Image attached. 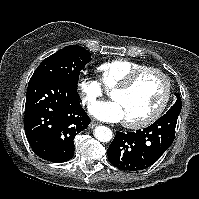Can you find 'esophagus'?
<instances>
[{
    "instance_id": "esophagus-1",
    "label": "esophagus",
    "mask_w": 199,
    "mask_h": 199,
    "mask_svg": "<svg viewBox=\"0 0 199 199\" xmlns=\"http://www.w3.org/2000/svg\"><path fill=\"white\" fill-rule=\"evenodd\" d=\"M98 126V123L97 122H94L92 121L90 124H89V128L90 129H93L94 127Z\"/></svg>"
}]
</instances>
